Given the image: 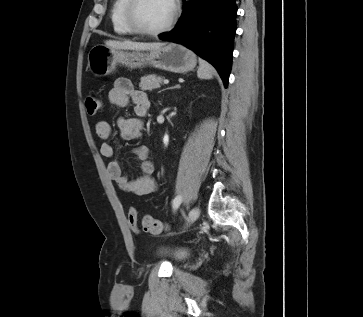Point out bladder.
<instances>
[{"mask_svg": "<svg viewBox=\"0 0 363 317\" xmlns=\"http://www.w3.org/2000/svg\"><path fill=\"white\" fill-rule=\"evenodd\" d=\"M158 255L160 257H169L173 262H181L188 257V252L183 249H177L170 252L164 248H160L158 250Z\"/></svg>", "mask_w": 363, "mask_h": 317, "instance_id": "31cf9c89", "label": "bladder"}]
</instances>
